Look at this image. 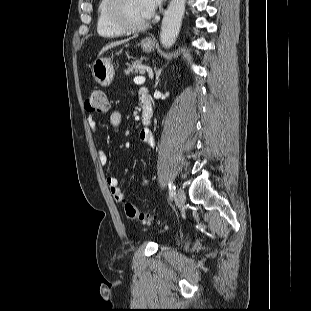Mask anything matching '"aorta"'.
<instances>
[{"instance_id": "1", "label": "aorta", "mask_w": 311, "mask_h": 311, "mask_svg": "<svg viewBox=\"0 0 311 311\" xmlns=\"http://www.w3.org/2000/svg\"><path fill=\"white\" fill-rule=\"evenodd\" d=\"M185 5L186 0H171L164 13L160 42L165 48H170L176 41L181 28Z\"/></svg>"}]
</instances>
